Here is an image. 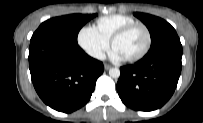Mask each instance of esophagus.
I'll return each mask as SVG.
<instances>
[{
	"label": "esophagus",
	"mask_w": 203,
	"mask_h": 123,
	"mask_svg": "<svg viewBox=\"0 0 203 123\" xmlns=\"http://www.w3.org/2000/svg\"><path fill=\"white\" fill-rule=\"evenodd\" d=\"M104 68H105V70H109V69L111 68V66L108 65V64H105V65H104Z\"/></svg>",
	"instance_id": "1"
}]
</instances>
